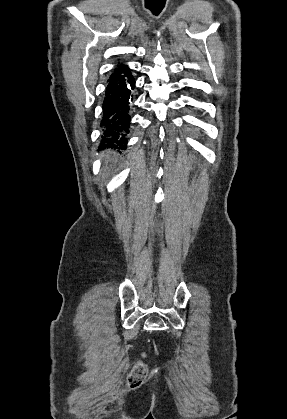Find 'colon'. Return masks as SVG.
Returning a JSON list of instances; mask_svg holds the SVG:
<instances>
[{
    "instance_id": "colon-1",
    "label": "colon",
    "mask_w": 287,
    "mask_h": 419,
    "mask_svg": "<svg viewBox=\"0 0 287 419\" xmlns=\"http://www.w3.org/2000/svg\"><path fill=\"white\" fill-rule=\"evenodd\" d=\"M147 366L143 362H136L129 376V384L132 387L139 386L147 376Z\"/></svg>"
}]
</instances>
